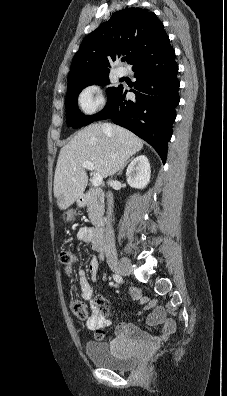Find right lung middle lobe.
Here are the masks:
<instances>
[{
	"label": "right lung middle lobe",
	"mask_w": 227,
	"mask_h": 396,
	"mask_svg": "<svg viewBox=\"0 0 227 396\" xmlns=\"http://www.w3.org/2000/svg\"><path fill=\"white\" fill-rule=\"evenodd\" d=\"M93 84H98L100 86H105L109 84V77L108 74L82 81L71 88L67 89V95H66V119H67V125L71 126L72 128H79L82 126L89 125L92 123L97 114L92 115V116H85L80 112L78 109L77 105V99L78 95L81 92L82 89L89 85ZM121 88V85L116 87H109L107 89V94H108V99L109 102L112 100L114 95L117 93V91Z\"/></svg>",
	"instance_id": "right-lung-middle-lobe-1"
}]
</instances>
